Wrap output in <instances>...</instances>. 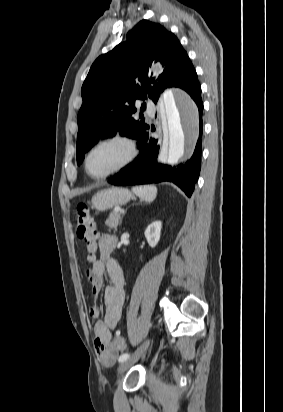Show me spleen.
<instances>
[{"label":"spleen","instance_id":"spleen-1","mask_svg":"<svg viewBox=\"0 0 283 412\" xmlns=\"http://www.w3.org/2000/svg\"><path fill=\"white\" fill-rule=\"evenodd\" d=\"M132 191L145 201H153L157 195V188L153 185L136 186L132 188Z\"/></svg>","mask_w":283,"mask_h":412}]
</instances>
